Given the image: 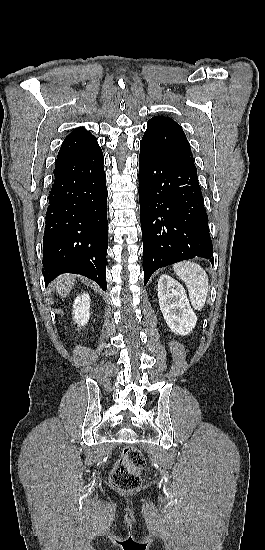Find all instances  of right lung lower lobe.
I'll use <instances>...</instances> for the list:
<instances>
[{
	"label": "right lung lower lobe",
	"instance_id": "obj_1",
	"mask_svg": "<svg viewBox=\"0 0 265 550\" xmlns=\"http://www.w3.org/2000/svg\"><path fill=\"white\" fill-rule=\"evenodd\" d=\"M101 149L56 162L43 238L45 284L81 274L104 291L108 248L107 187Z\"/></svg>",
	"mask_w": 265,
	"mask_h": 550
}]
</instances>
